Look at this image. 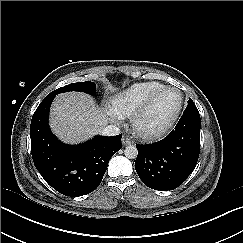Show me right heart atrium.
I'll list each match as a JSON object with an SVG mask.
<instances>
[{"mask_svg":"<svg viewBox=\"0 0 243 243\" xmlns=\"http://www.w3.org/2000/svg\"><path fill=\"white\" fill-rule=\"evenodd\" d=\"M111 116L114 118L115 117V114L114 113H111Z\"/></svg>","mask_w":243,"mask_h":243,"instance_id":"d8ad5b80","label":"right heart atrium"}]
</instances>
